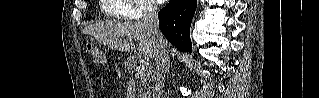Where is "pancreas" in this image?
I'll list each match as a JSON object with an SVG mask.
<instances>
[{
	"label": "pancreas",
	"instance_id": "cf45deb5",
	"mask_svg": "<svg viewBox=\"0 0 319 98\" xmlns=\"http://www.w3.org/2000/svg\"><path fill=\"white\" fill-rule=\"evenodd\" d=\"M128 71L132 74L133 78L140 83L138 85V90L144 92L145 95L150 94L151 86L148 79V74H139L136 67V61L134 58H129L127 60Z\"/></svg>",
	"mask_w": 319,
	"mask_h": 98
}]
</instances>
